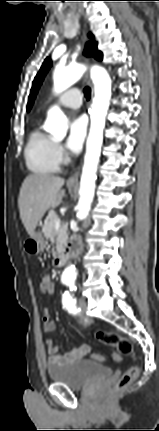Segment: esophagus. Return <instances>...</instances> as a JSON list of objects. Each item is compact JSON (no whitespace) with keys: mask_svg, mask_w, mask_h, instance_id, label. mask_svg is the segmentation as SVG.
Wrapping results in <instances>:
<instances>
[{"mask_svg":"<svg viewBox=\"0 0 159 431\" xmlns=\"http://www.w3.org/2000/svg\"><path fill=\"white\" fill-rule=\"evenodd\" d=\"M79 175H80V167L77 169V171L68 179V183L69 184H75L78 183L79 180Z\"/></svg>","mask_w":159,"mask_h":431,"instance_id":"1","label":"esophagus"}]
</instances>
